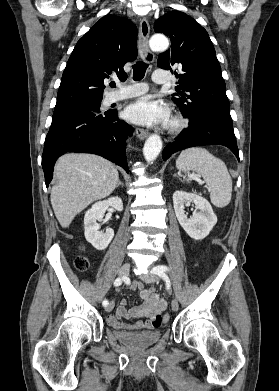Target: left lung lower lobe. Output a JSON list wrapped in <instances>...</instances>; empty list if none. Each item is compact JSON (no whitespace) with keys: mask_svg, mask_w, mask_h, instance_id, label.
I'll return each mask as SVG.
<instances>
[{"mask_svg":"<svg viewBox=\"0 0 279 391\" xmlns=\"http://www.w3.org/2000/svg\"><path fill=\"white\" fill-rule=\"evenodd\" d=\"M188 118L189 127L179 134L175 142L164 148L162 152L163 160L177 151L201 144L226 146L233 151L239 160L232 121L208 112H200Z\"/></svg>","mask_w":279,"mask_h":391,"instance_id":"left-lung-lower-lobe-1","label":"left lung lower lobe"}]
</instances>
